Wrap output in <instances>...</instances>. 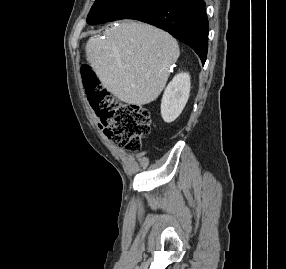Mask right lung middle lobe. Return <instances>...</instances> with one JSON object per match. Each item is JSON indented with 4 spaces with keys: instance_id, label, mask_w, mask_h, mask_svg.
Segmentation results:
<instances>
[{
    "instance_id": "dd1d6c3e",
    "label": "right lung middle lobe",
    "mask_w": 286,
    "mask_h": 269,
    "mask_svg": "<svg viewBox=\"0 0 286 269\" xmlns=\"http://www.w3.org/2000/svg\"><path fill=\"white\" fill-rule=\"evenodd\" d=\"M153 1L154 0H95L88 14L87 22L94 25L127 19Z\"/></svg>"
}]
</instances>
